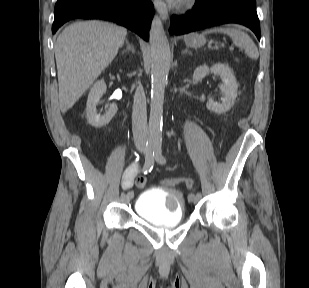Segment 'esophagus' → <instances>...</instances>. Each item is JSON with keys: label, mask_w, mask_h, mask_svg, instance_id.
Returning a JSON list of instances; mask_svg holds the SVG:
<instances>
[{"label": "esophagus", "mask_w": 309, "mask_h": 288, "mask_svg": "<svg viewBox=\"0 0 309 288\" xmlns=\"http://www.w3.org/2000/svg\"><path fill=\"white\" fill-rule=\"evenodd\" d=\"M155 9L159 12L163 20L168 18V9L166 4L162 0H154L153 2Z\"/></svg>", "instance_id": "1"}]
</instances>
